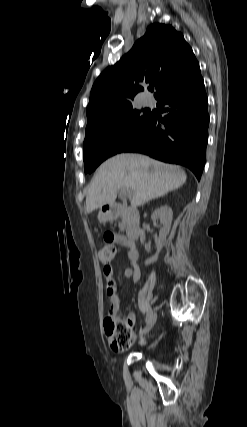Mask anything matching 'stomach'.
<instances>
[{"label": "stomach", "instance_id": "obj_1", "mask_svg": "<svg viewBox=\"0 0 247 427\" xmlns=\"http://www.w3.org/2000/svg\"><path fill=\"white\" fill-rule=\"evenodd\" d=\"M98 219H99L100 222H106L109 219H111V215L108 214V213H106V212H104V211H100L99 215H98Z\"/></svg>", "mask_w": 247, "mask_h": 427}]
</instances>
